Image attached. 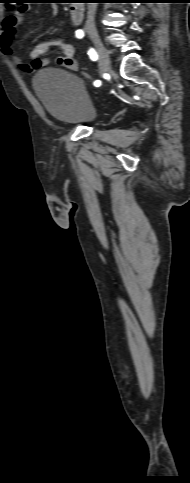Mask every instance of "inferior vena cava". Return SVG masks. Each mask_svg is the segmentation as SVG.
I'll use <instances>...</instances> for the list:
<instances>
[{"instance_id":"1","label":"inferior vena cava","mask_w":190,"mask_h":483,"mask_svg":"<svg viewBox=\"0 0 190 483\" xmlns=\"http://www.w3.org/2000/svg\"><path fill=\"white\" fill-rule=\"evenodd\" d=\"M96 8H97V3H88L86 27H91V28L95 27L94 19H95Z\"/></svg>"}]
</instances>
